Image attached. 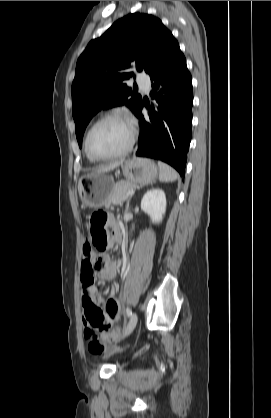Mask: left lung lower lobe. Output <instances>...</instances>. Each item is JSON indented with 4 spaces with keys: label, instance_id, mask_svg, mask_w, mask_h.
Returning a JSON list of instances; mask_svg holds the SVG:
<instances>
[{
    "label": "left lung lower lobe",
    "instance_id": "0a47b994",
    "mask_svg": "<svg viewBox=\"0 0 271 418\" xmlns=\"http://www.w3.org/2000/svg\"><path fill=\"white\" fill-rule=\"evenodd\" d=\"M149 75L157 108L148 107L150 121L141 114L144 103L135 114L141 126L135 155L162 160L184 176L192 135V78L174 37Z\"/></svg>",
    "mask_w": 271,
    "mask_h": 418
}]
</instances>
